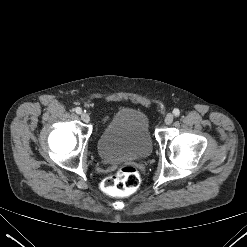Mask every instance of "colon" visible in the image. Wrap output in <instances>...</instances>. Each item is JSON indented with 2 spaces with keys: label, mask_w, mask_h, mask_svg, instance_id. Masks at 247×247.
Instances as JSON below:
<instances>
[{
  "label": "colon",
  "mask_w": 247,
  "mask_h": 247,
  "mask_svg": "<svg viewBox=\"0 0 247 247\" xmlns=\"http://www.w3.org/2000/svg\"><path fill=\"white\" fill-rule=\"evenodd\" d=\"M140 185V175L131 165L119 168L103 182V189L111 195L125 196L133 193Z\"/></svg>",
  "instance_id": "colon-1"
}]
</instances>
